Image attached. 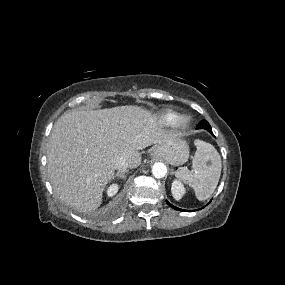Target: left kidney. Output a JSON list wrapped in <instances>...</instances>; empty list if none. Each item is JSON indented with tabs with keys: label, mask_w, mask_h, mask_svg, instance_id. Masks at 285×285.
Segmentation results:
<instances>
[{
	"label": "left kidney",
	"mask_w": 285,
	"mask_h": 285,
	"mask_svg": "<svg viewBox=\"0 0 285 285\" xmlns=\"http://www.w3.org/2000/svg\"><path fill=\"white\" fill-rule=\"evenodd\" d=\"M171 192L176 200H180L186 193V189L180 181L174 180L172 183Z\"/></svg>",
	"instance_id": "obj_1"
}]
</instances>
